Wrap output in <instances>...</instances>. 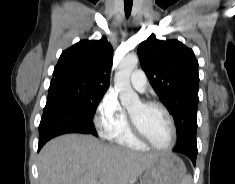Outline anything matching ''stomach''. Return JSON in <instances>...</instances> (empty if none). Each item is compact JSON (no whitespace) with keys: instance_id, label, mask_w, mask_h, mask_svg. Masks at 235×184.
Segmentation results:
<instances>
[{"instance_id":"0dacf381","label":"stomach","mask_w":235,"mask_h":184,"mask_svg":"<svg viewBox=\"0 0 235 184\" xmlns=\"http://www.w3.org/2000/svg\"><path fill=\"white\" fill-rule=\"evenodd\" d=\"M185 174V164L178 156H159L147 168L141 184H181Z\"/></svg>"}]
</instances>
